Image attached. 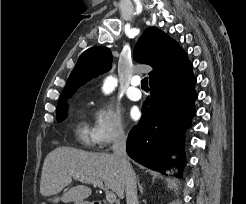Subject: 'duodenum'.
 <instances>
[{"label": "duodenum", "mask_w": 246, "mask_h": 204, "mask_svg": "<svg viewBox=\"0 0 246 204\" xmlns=\"http://www.w3.org/2000/svg\"><path fill=\"white\" fill-rule=\"evenodd\" d=\"M91 204H102L101 202H93Z\"/></svg>", "instance_id": "duodenum-1"}]
</instances>
